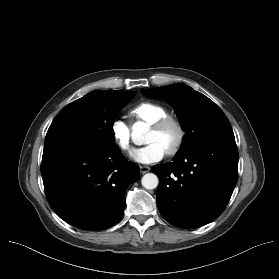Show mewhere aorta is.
<instances>
[{"mask_svg": "<svg viewBox=\"0 0 279 279\" xmlns=\"http://www.w3.org/2000/svg\"><path fill=\"white\" fill-rule=\"evenodd\" d=\"M148 130V126L144 122H137L133 125L132 135L134 138L142 136ZM142 186L146 189H155L158 186L159 179L154 173H147L141 179Z\"/></svg>", "mask_w": 279, "mask_h": 279, "instance_id": "762f6f07", "label": "aorta"}]
</instances>
